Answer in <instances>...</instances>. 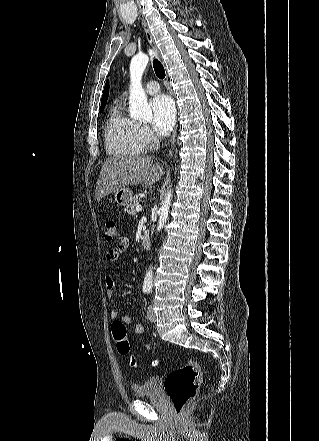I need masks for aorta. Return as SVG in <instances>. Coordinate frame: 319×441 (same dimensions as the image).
<instances>
[{
  "label": "aorta",
  "instance_id": "762f6f07",
  "mask_svg": "<svg viewBox=\"0 0 319 441\" xmlns=\"http://www.w3.org/2000/svg\"><path fill=\"white\" fill-rule=\"evenodd\" d=\"M149 62V57L146 54L135 55L130 63V97H129V112L133 119L141 121L152 120V110L147 102V97L142 87V75ZM172 199V190L167 192L164 202L159 209V220L157 225V231H161L165 226L169 208ZM153 285V268H149L147 271L143 287L151 288Z\"/></svg>",
  "mask_w": 319,
  "mask_h": 441
}]
</instances>
